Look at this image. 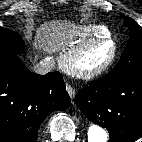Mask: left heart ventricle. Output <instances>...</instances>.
Segmentation results:
<instances>
[{"mask_svg": "<svg viewBox=\"0 0 142 142\" xmlns=\"http://www.w3.org/2000/svg\"><path fill=\"white\" fill-rule=\"evenodd\" d=\"M111 52L109 43H100L91 48L80 60V65L85 68H92L103 63Z\"/></svg>", "mask_w": 142, "mask_h": 142, "instance_id": "1", "label": "left heart ventricle"}]
</instances>
